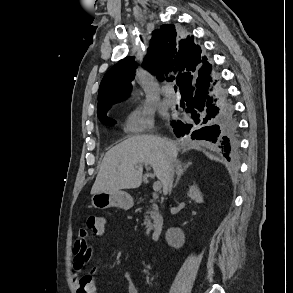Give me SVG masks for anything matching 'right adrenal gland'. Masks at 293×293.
<instances>
[{
    "mask_svg": "<svg viewBox=\"0 0 293 293\" xmlns=\"http://www.w3.org/2000/svg\"><path fill=\"white\" fill-rule=\"evenodd\" d=\"M192 164V162L187 163L186 165H183L181 162H176L175 164V172L177 174V179L176 182L174 184V187L177 186L181 176L184 174V172L186 171V169Z\"/></svg>",
    "mask_w": 293,
    "mask_h": 293,
    "instance_id": "obj_1",
    "label": "right adrenal gland"
}]
</instances>
